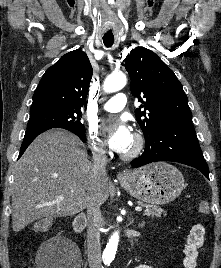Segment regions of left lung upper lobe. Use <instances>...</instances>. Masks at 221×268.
I'll return each instance as SVG.
<instances>
[{
	"mask_svg": "<svg viewBox=\"0 0 221 268\" xmlns=\"http://www.w3.org/2000/svg\"><path fill=\"white\" fill-rule=\"evenodd\" d=\"M131 93L142 102L136 120L145 141L162 126L192 124L188 98L174 72L151 50L136 47L125 58ZM144 100H143V99Z\"/></svg>",
	"mask_w": 221,
	"mask_h": 268,
	"instance_id": "left-lung-upper-lobe-1",
	"label": "left lung upper lobe"
}]
</instances>
